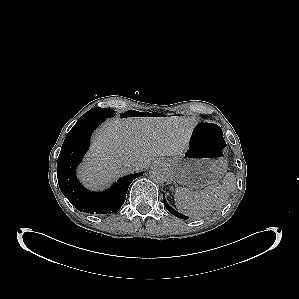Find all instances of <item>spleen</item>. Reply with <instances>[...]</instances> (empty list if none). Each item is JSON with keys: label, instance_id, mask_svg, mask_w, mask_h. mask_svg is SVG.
Listing matches in <instances>:
<instances>
[{"label": "spleen", "instance_id": "3e777b00", "mask_svg": "<svg viewBox=\"0 0 299 299\" xmlns=\"http://www.w3.org/2000/svg\"><path fill=\"white\" fill-rule=\"evenodd\" d=\"M235 187V175L231 172L225 175L222 184L215 183L200 191L177 187L174 195L175 205L181 213L199 218L225 205Z\"/></svg>", "mask_w": 299, "mask_h": 299}]
</instances>
